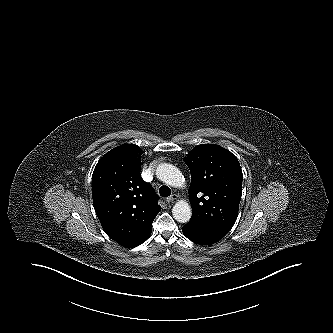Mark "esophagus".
<instances>
[{"label": "esophagus", "mask_w": 333, "mask_h": 333, "mask_svg": "<svg viewBox=\"0 0 333 333\" xmlns=\"http://www.w3.org/2000/svg\"><path fill=\"white\" fill-rule=\"evenodd\" d=\"M177 197L178 196L176 194H172V195H170L169 197L166 198V202L167 203H172L174 200L177 199Z\"/></svg>", "instance_id": "obj_1"}]
</instances>
